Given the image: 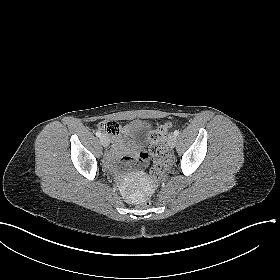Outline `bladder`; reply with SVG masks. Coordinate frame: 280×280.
Listing matches in <instances>:
<instances>
[{
	"label": "bladder",
	"instance_id": "bladder-1",
	"mask_svg": "<svg viewBox=\"0 0 280 280\" xmlns=\"http://www.w3.org/2000/svg\"><path fill=\"white\" fill-rule=\"evenodd\" d=\"M149 126L146 124H134L125 129L121 136V143L134 147H141L148 141L147 132Z\"/></svg>",
	"mask_w": 280,
	"mask_h": 280
}]
</instances>
